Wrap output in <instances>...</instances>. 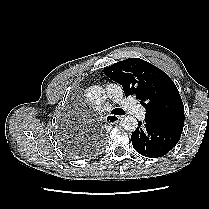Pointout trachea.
Wrapping results in <instances>:
<instances>
[{
    "instance_id": "obj_1",
    "label": "trachea",
    "mask_w": 209,
    "mask_h": 209,
    "mask_svg": "<svg viewBox=\"0 0 209 209\" xmlns=\"http://www.w3.org/2000/svg\"><path fill=\"white\" fill-rule=\"evenodd\" d=\"M114 115H125V111L121 108H115L111 111Z\"/></svg>"
}]
</instances>
